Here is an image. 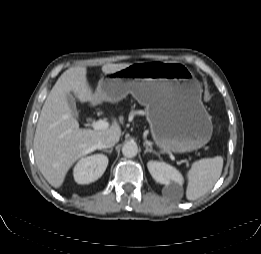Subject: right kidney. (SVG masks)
Here are the masks:
<instances>
[{"label":"right kidney","mask_w":261,"mask_h":254,"mask_svg":"<svg viewBox=\"0 0 261 254\" xmlns=\"http://www.w3.org/2000/svg\"><path fill=\"white\" fill-rule=\"evenodd\" d=\"M108 157L95 154L81 158L73 170L74 179L78 184H89L98 180L105 172Z\"/></svg>","instance_id":"right-kidney-1"}]
</instances>
